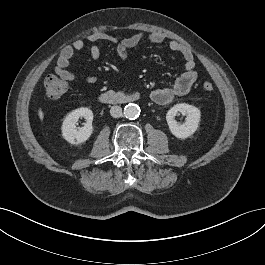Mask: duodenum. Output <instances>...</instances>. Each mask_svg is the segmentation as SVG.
I'll return each instance as SVG.
<instances>
[{
  "instance_id": "1",
  "label": "duodenum",
  "mask_w": 265,
  "mask_h": 265,
  "mask_svg": "<svg viewBox=\"0 0 265 265\" xmlns=\"http://www.w3.org/2000/svg\"><path fill=\"white\" fill-rule=\"evenodd\" d=\"M132 100V96L117 91H107L99 96V101L104 104H124Z\"/></svg>"
}]
</instances>
